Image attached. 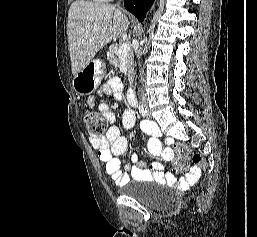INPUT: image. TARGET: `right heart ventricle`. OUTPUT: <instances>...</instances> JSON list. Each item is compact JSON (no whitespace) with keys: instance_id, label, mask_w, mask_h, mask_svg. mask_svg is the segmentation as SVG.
I'll return each instance as SVG.
<instances>
[{"instance_id":"e07e8e85","label":"right heart ventricle","mask_w":257,"mask_h":237,"mask_svg":"<svg viewBox=\"0 0 257 237\" xmlns=\"http://www.w3.org/2000/svg\"><path fill=\"white\" fill-rule=\"evenodd\" d=\"M94 2H104V1H109V0H93Z\"/></svg>"}]
</instances>
